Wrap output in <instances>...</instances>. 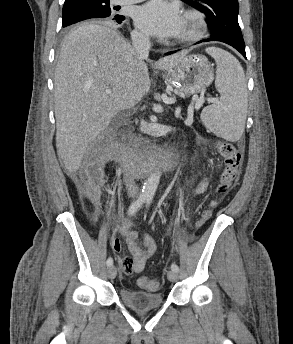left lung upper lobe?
<instances>
[{
    "label": "left lung upper lobe",
    "instance_id": "obj_1",
    "mask_svg": "<svg viewBox=\"0 0 293 344\" xmlns=\"http://www.w3.org/2000/svg\"><path fill=\"white\" fill-rule=\"evenodd\" d=\"M207 16L211 36L244 45L238 24L237 0H182Z\"/></svg>",
    "mask_w": 293,
    "mask_h": 344
}]
</instances>
